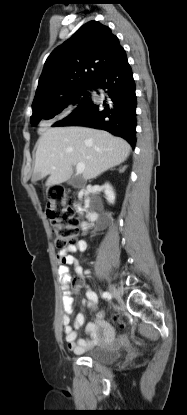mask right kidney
Masks as SVG:
<instances>
[{"instance_id": "1", "label": "right kidney", "mask_w": 187, "mask_h": 415, "mask_svg": "<svg viewBox=\"0 0 187 415\" xmlns=\"http://www.w3.org/2000/svg\"><path fill=\"white\" fill-rule=\"evenodd\" d=\"M101 189L104 191L105 197L110 204L115 202V193L112 186L109 183H105Z\"/></svg>"}]
</instances>
